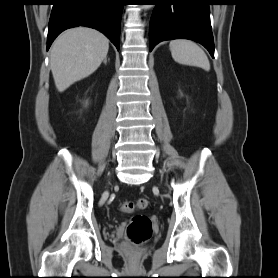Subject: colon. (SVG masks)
I'll return each instance as SVG.
<instances>
[{
	"mask_svg": "<svg viewBox=\"0 0 278 278\" xmlns=\"http://www.w3.org/2000/svg\"><path fill=\"white\" fill-rule=\"evenodd\" d=\"M149 206V201L145 198H140L134 202H125L122 209L125 212H133L145 210ZM127 237L135 245H141L146 242L152 235V222L150 218L143 214L135 215L128 227Z\"/></svg>",
	"mask_w": 278,
	"mask_h": 278,
	"instance_id": "5ec220e1",
	"label": "colon"
}]
</instances>
